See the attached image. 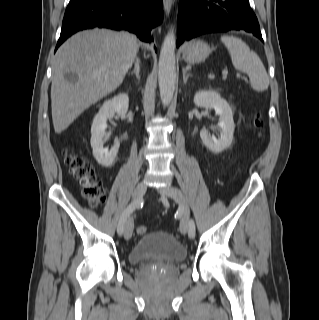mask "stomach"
Masks as SVG:
<instances>
[{"instance_id":"0dacf381","label":"stomach","mask_w":319,"mask_h":320,"mask_svg":"<svg viewBox=\"0 0 319 320\" xmlns=\"http://www.w3.org/2000/svg\"><path fill=\"white\" fill-rule=\"evenodd\" d=\"M212 49L202 41H190L183 48V59L189 64H196L205 61Z\"/></svg>"}]
</instances>
